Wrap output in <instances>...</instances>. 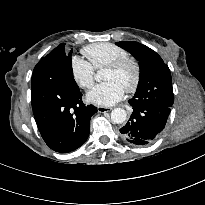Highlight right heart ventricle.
<instances>
[{
    "mask_svg": "<svg viewBox=\"0 0 205 205\" xmlns=\"http://www.w3.org/2000/svg\"><path fill=\"white\" fill-rule=\"evenodd\" d=\"M82 54L95 70L101 69L117 59L128 57V52L124 48L109 42L85 46L82 49Z\"/></svg>",
    "mask_w": 205,
    "mask_h": 205,
    "instance_id": "1",
    "label": "right heart ventricle"
}]
</instances>
